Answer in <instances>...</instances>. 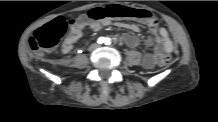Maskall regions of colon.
<instances>
[{"label": "colon", "instance_id": "5ec220e1", "mask_svg": "<svg viewBox=\"0 0 218 122\" xmlns=\"http://www.w3.org/2000/svg\"><path fill=\"white\" fill-rule=\"evenodd\" d=\"M89 16L93 20L132 17L144 20L150 26H155L158 23L157 17L147 10L127 8L121 5H110L105 9H94L89 13ZM71 23L70 20L59 17L39 28L32 38L33 47L36 50L44 52L51 51L57 45L59 39L66 32ZM173 60L174 57L172 55L161 57L160 60L157 61V66L159 68H163L165 65L169 66Z\"/></svg>", "mask_w": 218, "mask_h": 122}]
</instances>
